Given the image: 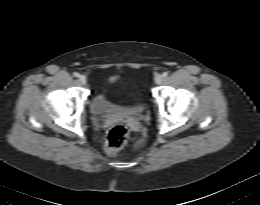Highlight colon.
Returning a JSON list of instances; mask_svg holds the SVG:
<instances>
[{"instance_id":"colon-1","label":"colon","mask_w":260,"mask_h":205,"mask_svg":"<svg viewBox=\"0 0 260 205\" xmlns=\"http://www.w3.org/2000/svg\"><path fill=\"white\" fill-rule=\"evenodd\" d=\"M128 139V130L122 124L112 126L105 134L104 141L107 151L112 154H118L125 146Z\"/></svg>"}]
</instances>
